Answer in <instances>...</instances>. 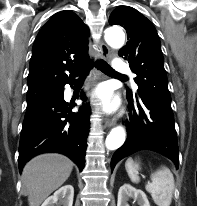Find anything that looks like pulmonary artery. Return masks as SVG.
Segmentation results:
<instances>
[{"instance_id":"e3ab8cb5","label":"pulmonary artery","mask_w":197,"mask_h":206,"mask_svg":"<svg viewBox=\"0 0 197 206\" xmlns=\"http://www.w3.org/2000/svg\"><path fill=\"white\" fill-rule=\"evenodd\" d=\"M114 69L117 72H126L128 71V65L121 59H116L114 63Z\"/></svg>"}]
</instances>
